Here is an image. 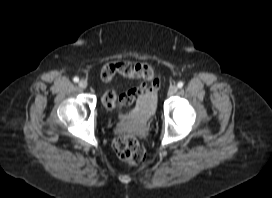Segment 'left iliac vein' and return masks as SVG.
<instances>
[{
  "mask_svg": "<svg viewBox=\"0 0 272 198\" xmlns=\"http://www.w3.org/2000/svg\"><path fill=\"white\" fill-rule=\"evenodd\" d=\"M178 91V87L176 85H172L168 90V95H174Z\"/></svg>",
  "mask_w": 272,
  "mask_h": 198,
  "instance_id": "4c4485c4",
  "label": "left iliac vein"
}]
</instances>
